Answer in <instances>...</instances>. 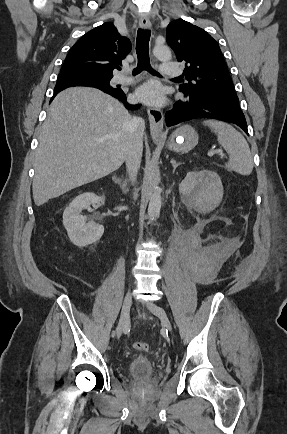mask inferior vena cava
Instances as JSON below:
<instances>
[{"mask_svg": "<svg viewBox=\"0 0 287 434\" xmlns=\"http://www.w3.org/2000/svg\"><path fill=\"white\" fill-rule=\"evenodd\" d=\"M144 129V120L140 117H133L131 120L132 136L126 155V168L132 182H135L141 164Z\"/></svg>", "mask_w": 287, "mask_h": 434, "instance_id": "1", "label": "inferior vena cava"}]
</instances>
